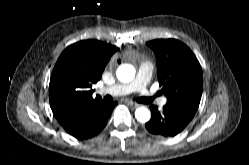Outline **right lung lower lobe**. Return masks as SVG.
<instances>
[{"label":"right lung lower lobe","instance_id":"1","mask_svg":"<svg viewBox=\"0 0 249 165\" xmlns=\"http://www.w3.org/2000/svg\"><path fill=\"white\" fill-rule=\"evenodd\" d=\"M116 104L117 102L109 104L101 101L61 125L67 133L77 139L91 138L106 126L107 119Z\"/></svg>","mask_w":249,"mask_h":165}]
</instances>
